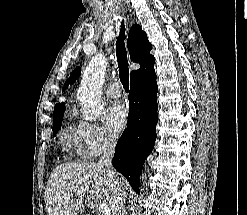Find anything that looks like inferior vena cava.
I'll use <instances>...</instances> for the list:
<instances>
[{
	"label": "inferior vena cava",
	"instance_id": "inferior-vena-cava-1",
	"mask_svg": "<svg viewBox=\"0 0 247 215\" xmlns=\"http://www.w3.org/2000/svg\"><path fill=\"white\" fill-rule=\"evenodd\" d=\"M115 147L116 141L113 138H108V140L104 142V152L98 161L97 166L106 170L107 176L114 188L112 199L113 215H127L126 208L124 206L126 193L119 183L116 173L112 170V159L114 156Z\"/></svg>",
	"mask_w": 247,
	"mask_h": 215
}]
</instances>
